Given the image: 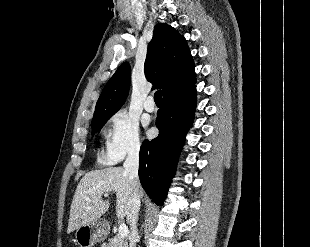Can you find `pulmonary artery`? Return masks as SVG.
Returning <instances> with one entry per match:
<instances>
[{
	"label": "pulmonary artery",
	"instance_id": "1",
	"mask_svg": "<svg viewBox=\"0 0 310 247\" xmlns=\"http://www.w3.org/2000/svg\"><path fill=\"white\" fill-rule=\"evenodd\" d=\"M144 109L148 112H153L155 110V104L152 97H148L144 103Z\"/></svg>",
	"mask_w": 310,
	"mask_h": 247
}]
</instances>
